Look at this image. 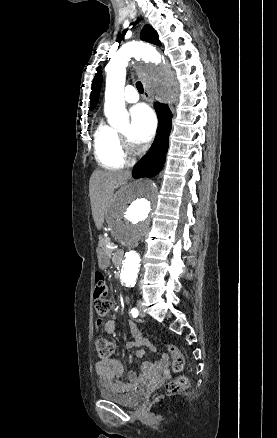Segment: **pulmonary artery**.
<instances>
[{"mask_svg": "<svg viewBox=\"0 0 277 438\" xmlns=\"http://www.w3.org/2000/svg\"><path fill=\"white\" fill-rule=\"evenodd\" d=\"M138 88L137 87H127L125 90V96L123 97V102L125 103H136L138 101Z\"/></svg>", "mask_w": 277, "mask_h": 438, "instance_id": "1", "label": "pulmonary artery"}]
</instances>
